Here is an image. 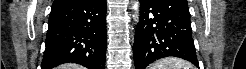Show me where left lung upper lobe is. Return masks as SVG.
<instances>
[{
	"mask_svg": "<svg viewBox=\"0 0 246 69\" xmlns=\"http://www.w3.org/2000/svg\"><path fill=\"white\" fill-rule=\"evenodd\" d=\"M160 7L169 13L190 22V13L186 0H154Z\"/></svg>",
	"mask_w": 246,
	"mask_h": 69,
	"instance_id": "5c2ea615",
	"label": "left lung upper lobe"
}]
</instances>
